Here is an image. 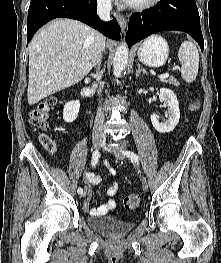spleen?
<instances>
[{
	"instance_id": "spleen-1",
	"label": "spleen",
	"mask_w": 221,
	"mask_h": 263,
	"mask_svg": "<svg viewBox=\"0 0 221 263\" xmlns=\"http://www.w3.org/2000/svg\"><path fill=\"white\" fill-rule=\"evenodd\" d=\"M181 61V76L188 82H193L198 74L199 69V52L196 45L191 41H184L178 52Z\"/></svg>"
}]
</instances>
